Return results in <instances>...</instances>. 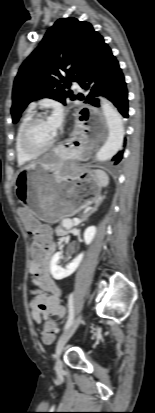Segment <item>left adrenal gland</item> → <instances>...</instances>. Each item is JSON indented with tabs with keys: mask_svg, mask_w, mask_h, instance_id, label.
Returning <instances> with one entry per match:
<instances>
[{
	"mask_svg": "<svg viewBox=\"0 0 155 413\" xmlns=\"http://www.w3.org/2000/svg\"><path fill=\"white\" fill-rule=\"evenodd\" d=\"M96 207H97V206H95V208H94L93 210H91L90 212H88V214H86L84 218L86 219L91 213H93V212L96 210Z\"/></svg>",
	"mask_w": 155,
	"mask_h": 413,
	"instance_id": "a2214340",
	"label": "left adrenal gland"
}]
</instances>
